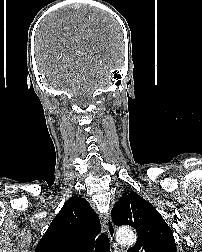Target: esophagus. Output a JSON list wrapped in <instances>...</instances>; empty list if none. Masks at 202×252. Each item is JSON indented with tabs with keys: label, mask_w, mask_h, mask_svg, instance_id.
Returning <instances> with one entry per match:
<instances>
[{
	"label": "esophagus",
	"mask_w": 202,
	"mask_h": 252,
	"mask_svg": "<svg viewBox=\"0 0 202 252\" xmlns=\"http://www.w3.org/2000/svg\"><path fill=\"white\" fill-rule=\"evenodd\" d=\"M99 216H100L101 220L103 221V223L105 225L106 232H107L110 240L112 241L113 246L116 247V243L114 242V239H115V226H114V224L112 222V219H111L109 213L100 214Z\"/></svg>",
	"instance_id": "esophagus-1"
}]
</instances>
